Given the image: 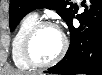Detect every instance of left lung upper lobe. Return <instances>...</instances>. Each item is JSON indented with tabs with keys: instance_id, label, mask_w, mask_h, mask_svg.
<instances>
[{
	"instance_id": "1",
	"label": "left lung upper lobe",
	"mask_w": 102,
	"mask_h": 75,
	"mask_svg": "<svg viewBox=\"0 0 102 75\" xmlns=\"http://www.w3.org/2000/svg\"><path fill=\"white\" fill-rule=\"evenodd\" d=\"M44 7L56 10L65 22L74 12L73 3L65 0H10V30L13 31L27 13Z\"/></svg>"
}]
</instances>
